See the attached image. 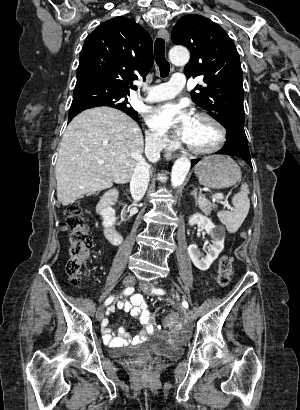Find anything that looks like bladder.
Here are the masks:
<instances>
[{"label":"bladder","mask_w":300,"mask_h":410,"mask_svg":"<svg viewBox=\"0 0 300 410\" xmlns=\"http://www.w3.org/2000/svg\"><path fill=\"white\" fill-rule=\"evenodd\" d=\"M183 348V343L164 341L158 344L149 345L144 351L151 354L161 353L168 356L177 357L182 355ZM116 350L123 352L125 349H112L110 352L111 355H113Z\"/></svg>","instance_id":"1"}]
</instances>
